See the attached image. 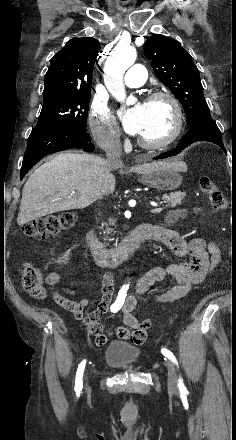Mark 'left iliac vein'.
Segmentation results:
<instances>
[{
  "label": "left iliac vein",
  "instance_id": "4c4485c4",
  "mask_svg": "<svg viewBox=\"0 0 236 440\" xmlns=\"http://www.w3.org/2000/svg\"><path fill=\"white\" fill-rule=\"evenodd\" d=\"M165 366L168 371V386L171 390H177L178 381L175 366L170 360L165 361Z\"/></svg>",
  "mask_w": 236,
  "mask_h": 440
}]
</instances>
